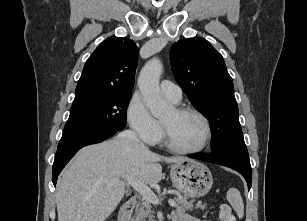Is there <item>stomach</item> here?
Masks as SVG:
<instances>
[{"instance_id": "stomach-1", "label": "stomach", "mask_w": 307, "mask_h": 221, "mask_svg": "<svg viewBox=\"0 0 307 221\" xmlns=\"http://www.w3.org/2000/svg\"><path fill=\"white\" fill-rule=\"evenodd\" d=\"M170 176L174 186L186 197L191 198L206 195L213 184L209 168L201 162L189 159L174 163Z\"/></svg>"}]
</instances>
